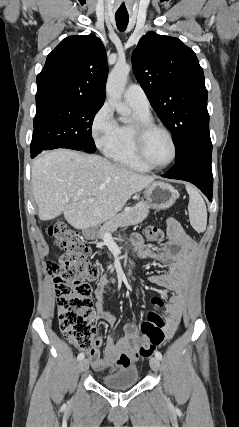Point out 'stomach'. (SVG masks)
<instances>
[{
    "label": "stomach",
    "mask_w": 239,
    "mask_h": 427,
    "mask_svg": "<svg viewBox=\"0 0 239 427\" xmlns=\"http://www.w3.org/2000/svg\"><path fill=\"white\" fill-rule=\"evenodd\" d=\"M145 199L149 207L155 210H166L176 201L178 193L168 183L156 181L149 184L144 191ZM83 235L88 240L100 238L97 227L83 230Z\"/></svg>",
    "instance_id": "1"
}]
</instances>
